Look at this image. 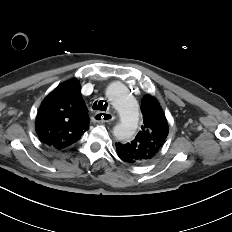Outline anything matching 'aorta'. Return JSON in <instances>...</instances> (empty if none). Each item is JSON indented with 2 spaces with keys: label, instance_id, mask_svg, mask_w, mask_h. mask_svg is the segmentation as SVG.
Instances as JSON below:
<instances>
[{
  "label": "aorta",
  "instance_id": "obj_1",
  "mask_svg": "<svg viewBox=\"0 0 232 232\" xmlns=\"http://www.w3.org/2000/svg\"><path fill=\"white\" fill-rule=\"evenodd\" d=\"M106 95L120 115V122L114 127L113 134L118 140H129L139 126V108L136 100L119 82L111 84Z\"/></svg>",
  "mask_w": 232,
  "mask_h": 232
}]
</instances>
